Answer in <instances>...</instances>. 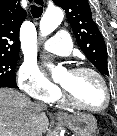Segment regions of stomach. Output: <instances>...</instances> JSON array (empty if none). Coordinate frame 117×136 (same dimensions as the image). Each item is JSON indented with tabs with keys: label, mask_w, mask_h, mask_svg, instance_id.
I'll use <instances>...</instances> for the list:
<instances>
[{
	"label": "stomach",
	"mask_w": 117,
	"mask_h": 136,
	"mask_svg": "<svg viewBox=\"0 0 117 136\" xmlns=\"http://www.w3.org/2000/svg\"><path fill=\"white\" fill-rule=\"evenodd\" d=\"M77 136H94L97 129V121L90 114H76L61 120Z\"/></svg>",
	"instance_id": "stomach-1"
}]
</instances>
